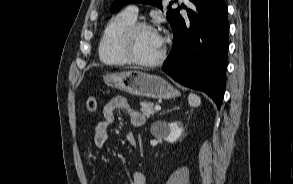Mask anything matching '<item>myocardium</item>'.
Here are the masks:
<instances>
[{
    "instance_id": "myocardium-1",
    "label": "myocardium",
    "mask_w": 293,
    "mask_h": 184,
    "mask_svg": "<svg viewBox=\"0 0 293 184\" xmlns=\"http://www.w3.org/2000/svg\"><path fill=\"white\" fill-rule=\"evenodd\" d=\"M141 29H150L156 31L153 25L145 21H135L132 25H130L123 33L120 41V48L122 54L125 58L136 65L144 66V67H153L159 65L166 57V47L162 46L161 53L152 60H141L139 59L133 51V40L136 33Z\"/></svg>"
}]
</instances>
